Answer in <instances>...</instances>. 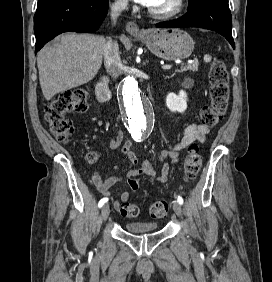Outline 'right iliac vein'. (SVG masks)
Wrapping results in <instances>:
<instances>
[{
  "label": "right iliac vein",
  "mask_w": 272,
  "mask_h": 282,
  "mask_svg": "<svg viewBox=\"0 0 272 282\" xmlns=\"http://www.w3.org/2000/svg\"><path fill=\"white\" fill-rule=\"evenodd\" d=\"M110 214V208L108 204H105L101 209V218L103 221H106Z\"/></svg>",
  "instance_id": "1"
}]
</instances>
